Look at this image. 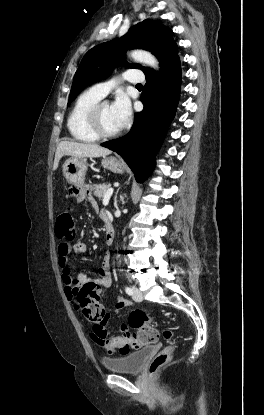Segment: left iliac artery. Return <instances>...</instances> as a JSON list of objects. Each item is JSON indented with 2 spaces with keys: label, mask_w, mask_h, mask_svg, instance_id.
<instances>
[{
  "label": "left iliac artery",
  "mask_w": 264,
  "mask_h": 415,
  "mask_svg": "<svg viewBox=\"0 0 264 415\" xmlns=\"http://www.w3.org/2000/svg\"><path fill=\"white\" fill-rule=\"evenodd\" d=\"M125 291H126V293L128 294V295H132L133 294V291H132V289L130 288V287H125Z\"/></svg>",
  "instance_id": "44dca946"
}]
</instances>
